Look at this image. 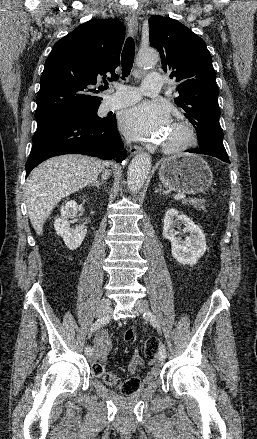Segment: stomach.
<instances>
[{
  "instance_id": "0dacf381",
  "label": "stomach",
  "mask_w": 257,
  "mask_h": 439,
  "mask_svg": "<svg viewBox=\"0 0 257 439\" xmlns=\"http://www.w3.org/2000/svg\"><path fill=\"white\" fill-rule=\"evenodd\" d=\"M162 184L174 191L197 194L209 189L213 175L199 155L180 154L164 159L159 169Z\"/></svg>"
}]
</instances>
